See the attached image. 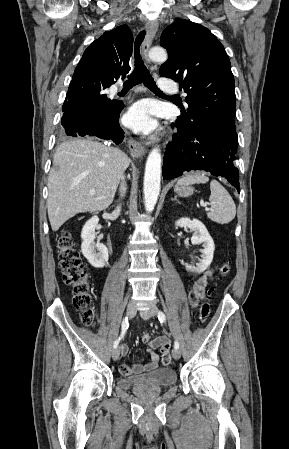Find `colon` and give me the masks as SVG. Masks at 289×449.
Listing matches in <instances>:
<instances>
[{
	"mask_svg": "<svg viewBox=\"0 0 289 449\" xmlns=\"http://www.w3.org/2000/svg\"><path fill=\"white\" fill-rule=\"evenodd\" d=\"M57 253L64 282L73 292V304L81 313L82 323L84 325H90L94 319V310L91 306L88 272L80 259L79 252L69 231H65L59 238ZM229 271L230 263H224L219 268V275L226 276ZM211 291V289L208 291V295L211 294ZM210 311V303L204 301L199 309V319L201 322L207 321ZM149 339V334L142 336L143 342H147Z\"/></svg>",
	"mask_w": 289,
	"mask_h": 449,
	"instance_id": "5ec220e1",
	"label": "colon"
}]
</instances>
